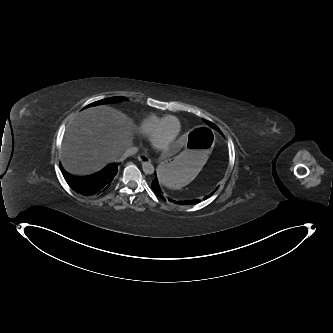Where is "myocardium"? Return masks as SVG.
I'll return each mask as SVG.
<instances>
[{
	"label": "myocardium",
	"instance_id": "1",
	"mask_svg": "<svg viewBox=\"0 0 333 333\" xmlns=\"http://www.w3.org/2000/svg\"><path fill=\"white\" fill-rule=\"evenodd\" d=\"M170 119L177 120L178 118L176 116H173V115L167 116L165 119L162 120V122L159 124V126L157 127V129L154 131V133L151 135V138H150L152 144L154 146L158 147L162 151L171 150L177 144V141H178V132H179V129H180L179 127H178L176 135L173 137L172 140H170L169 142H167L165 144H159L158 143V137L160 136L164 125Z\"/></svg>",
	"mask_w": 333,
	"mask_h": 333
}]
</instances>
